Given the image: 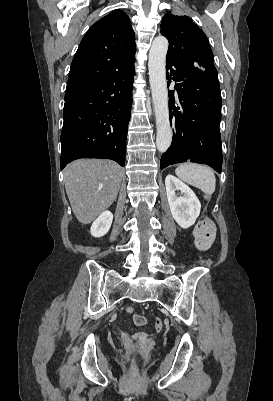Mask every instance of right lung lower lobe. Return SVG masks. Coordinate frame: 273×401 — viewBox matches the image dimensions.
<instances>
[{
    "label": "right lung lower lobe",
    "mask_w": 273,
    "mask_h": 401,
    "mask_svg": "<svg viewBox=\"0 0 273 401\" xmlns=\"http://www.w3.org/2000/svg\"><path fill=\"white\" fill-rule=\"evenodd\" d=\"M134 73L132 62L65 94L61 169L79 158L112 159L124 166Z\"/></svg>",
    "instance_id": "1"
}]
</instances>
